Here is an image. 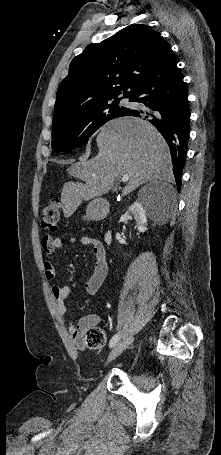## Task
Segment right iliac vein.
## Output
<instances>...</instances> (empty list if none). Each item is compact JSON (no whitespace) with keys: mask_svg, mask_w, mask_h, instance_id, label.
<instances>
[{"mask_svg":"<svg viewBox=\"0 0 221 455\" xmlns=\"http://www.w3.org/2000/svg\"><path fill=\"white\" fill-rule=\"evenodd\" d=\"M133 340H134L133 337H126L123 340H121L110 352L106 365L112 362L114 359H116L126 348H128L130 344L133 342Z\"/></svg>","mask_w":221,"mask_h":455,"instance_id":"63e3f726","label":"right iliac vein"}]
</instances>
